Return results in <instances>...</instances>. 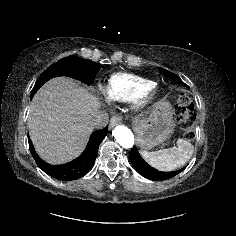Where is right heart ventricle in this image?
Instances as JSON below:
<instances>
[{
	"instance_id": "1",
	"label": "right heart ventricle",
	"mask_w": 236,
	"mask_h": 236,
	"mask_svg": "<svg viewBox=\"0 0 236 236\" xmlns=\"http://www.w3.org/2000/svg\"><path fill=\"white\" fill-rule=\"evenodd\" d=\"M154 85L153 81L138 75L117 73L109 78L105 94L113 101L131 102L143 97Z\"/></svg>"
}]
</instances>
